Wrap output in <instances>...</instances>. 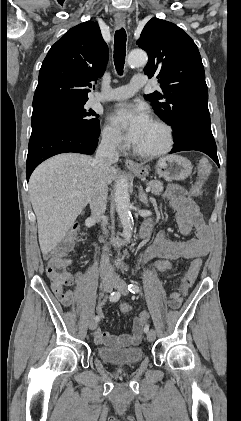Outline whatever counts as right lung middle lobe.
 <instances>
[{
	"label": "right lung middle lobe",
	"mask_w": 241,
	"mask_h": 421,
	"mask_svg": "<svg viewBox=\"0 0 241 421\" xmlns=\"http://www.w3.org/2000/svg\"><path fill=\"white\" fill-rule=\"evenodd\" d=\"M85 103L56 101L33 107L32 132L48 126H63L99 137L98 115L91 109L86 110Z\"/></svg>",
	"instance_id": "obj_1"
}]
</instances>
